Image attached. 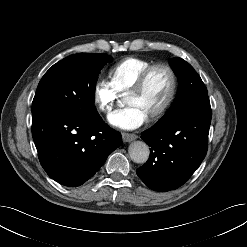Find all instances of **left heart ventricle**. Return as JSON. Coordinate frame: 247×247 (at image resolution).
Here are the masks:
<instances>
[{
	"label": "left heart ventricle",
	"instance_id": "1",
	"mask_svg": "<svg viewBox=\"0 0 247 247\" xmlns=\"http://www.w3.org/2000/svg\"><path fill=\"white\" fill-rule=\"evenodd\" d=\"M170 76L164 69H156L138 94H128L126 104L139 107L148 117L157 111L165 101L170 89Z\"/></svg>",
	"mask_w": 247,
	"mask_h": 247
}]
</instances>
